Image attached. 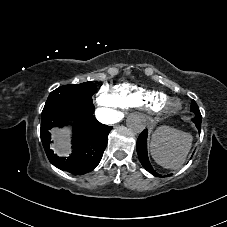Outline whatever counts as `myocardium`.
Returning a JSON list of instances; mask_svg holds the SVG:
<instances>
[{
	"mask_svg": "<svg viewBox=\"0 0 227 227\" xmlns=\"http://www.w3.org/2000/svg\"><path fill=\"white\" fill-rule=\"evenodd\" d=\"M180 107V103L171 98L162 100L155 112L161 115H168L175 112Z\"/></svg>",
	"mask_w": 227,
	"mask_h": 227,
	"instance_id": "obj_1",
	"label": "myocardium"
}]
</instances>
